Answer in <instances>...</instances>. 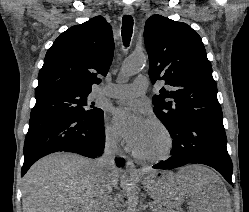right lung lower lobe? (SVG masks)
<instances>
[{
    "label": "right lung lower lobe",
    "instance_id": "98d812e1",
    "mask_svg": "<svg viewBox=\"0 0 249 212\" xmlns=\"http://www.w3.org/2000/svg\"><path fill=\"white\" fill-rule=\"evenodd\" d=\"M104 145L103 117L93 120L61 113L35 115L30 118L25 138L21 175L50 153L64 151L96 158L103 153ZM116 163L124 166L123 159H117Z\"/></svg>",
    "mask_w": 249,
    "mask_h": 212
}]
</instances>
